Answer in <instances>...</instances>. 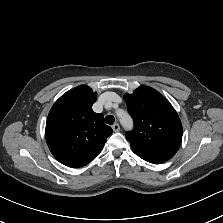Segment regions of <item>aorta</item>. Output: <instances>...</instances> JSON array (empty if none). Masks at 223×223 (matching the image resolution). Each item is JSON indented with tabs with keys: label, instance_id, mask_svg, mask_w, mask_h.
I'll return each instance as SVG.
<instances>
[{
	"label": "aorta",
	"instance_id": "1",
	"mask_svg": "<svg viewBox=\"0 0 223 223\" xmlns=\"http://www.w3.org/2000/svg\"><path fill=\"white\" fill-rule=\"evenodd\" d=\"M120 123L122 124L123 127L125 128H131L133 126V121L131 117L124 113L122 116L119 117Z\"/></svg>",
	"mask_w": 223,
	"mask_h": 223
}]
</instances>
